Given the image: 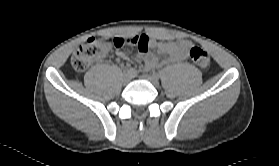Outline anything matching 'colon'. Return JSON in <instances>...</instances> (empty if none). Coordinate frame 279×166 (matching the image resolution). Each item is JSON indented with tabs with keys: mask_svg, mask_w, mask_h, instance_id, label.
Here are the masks:
<instances>
[{
	"mask_svg": "<svg viewBox=\"0 0 279 166\" xmlns=\"http://www.w3.org/2000/svg\"><path fill=\"white\" fill-rule=\"evenodd\" d=\"M143 39L139 40L143 44ZM138 43L137 39H95L90 38L83 43L73 54L71 64L76 71L86 70L94 61L105 57L112 47L124 48L129 44ZM190 58L192 62L199 68L206 70L210 66L209 53L200 47H193L190 50Z\"/></svg>",
	"mask_w": 279,
	"mask_h": 166,
	"instance_id": "colon-1",
	"label": "colon"
}]
</instances>
